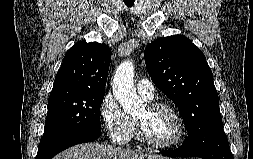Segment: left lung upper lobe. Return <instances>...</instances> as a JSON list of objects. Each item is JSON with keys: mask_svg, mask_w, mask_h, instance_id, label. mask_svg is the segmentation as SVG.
Listing matches in <instances>:
<instances>
[{"mask_svg": "<svg viewBox=\"0 0 253 159\" xmlns=\"http://www.w3.org/2000/svg\"><path fill=\"white\" fill-rule=\"evenodd\" d=\"M144 56L152 81L178 107L188 137L203 139L222 126L212 71L190 39L159 38L146 46Z\"/></svg>", "mask_w": 253, "mask_h": 159, "instance_id": "left-lung-upper-lobe-1", "label": "left lung upper lobe"}]
</instances>
